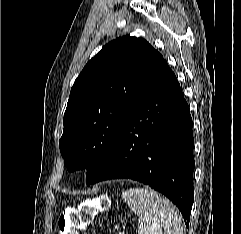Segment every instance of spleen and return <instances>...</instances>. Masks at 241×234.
Returning a JSON list of instances; mask_svg holds the SVG:
<instances>
[{
	"instance_id": "3e777b00",
	"label": "spleen",
	"mask_w": 241,
	"mask_h": 234,
	"mask_svg": "<svg viewBox=\"0 0 241 234\" xmlns=\"http://www.w3.org/2000/svg\"><path fill=\"white\" fill-rule=\"evenodd\" d=\"M123 200L139 216L138 234H183L182 220L168 199L150 188H130Z\"/></svg>"
}]
</instances>
